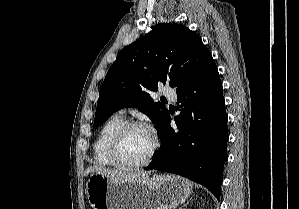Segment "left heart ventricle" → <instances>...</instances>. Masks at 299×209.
<instances>
[{
  "mask_svg": "<svg viewBox=\"0 0 299 209\" xmlns=\"http://www.w3.org/2000/svg\"><path fill=\"white\" fill-rule=\"evenodd\" d=\"M150 148L149 134L140 128H133L120 141L119 158L126 163L140 162L147 156Z\"/></svg>",
  "mask_w": 299,
  "mask_h": 209,
  "instance_id": "left-heart-ventricle-1",
  "label": "left heart ventricle"
}]
</instances>
